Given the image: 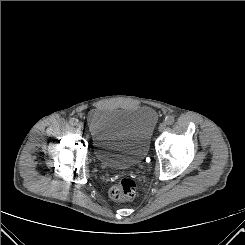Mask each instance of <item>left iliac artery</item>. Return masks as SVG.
Segmentation results:
<instances>
[{"mask_svg": "<svg viewBox=\"0 0 245 245\" xmlns=\"http://www.w3.org/2000/svg\"><path fill=\"white\" fill-rule=\"evenodd\" d=\"M174 121H175V119H174V117L173 116H167L166 118H165V122H166V124L167 125H172L173 123H174Z\"/></svg>", "mask_w": 245, "mask_h": 245, "instance_id": "left-iliac-artery-1", "label": "left iliac artery"}]
</instances>
